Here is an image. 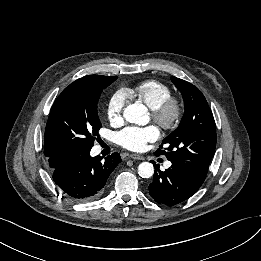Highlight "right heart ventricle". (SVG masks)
<instances>
[{
	"mask_svg": "<svg viewBox=\"0 0 261 261\" xmlns=\"http://www.w3.org/2000/svg\"><path fill=\"white\" fill-rule=\"evenodd\" d=\"M126 95L142 101L151 110L156 109L171 95L170 88L155 80L144 81L133 89L125 90Z\"/></svg>",
	"mask_w": 261,
	"mask_h": 261,
	"instance_id": "right-heart-ventricle-1",
	"label": "right heart ventricle"
}]
</instances>
